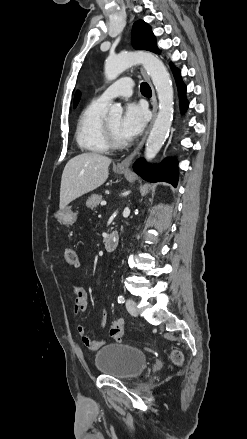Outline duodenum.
Instances as JSON below:
<instances>
[{"instance_id": "410a0bca", "label": "duodenum", "mask_w": 247, "mask_h": 439, "mask_svg": "<svg viewBox=\"0 0 247 439\" xmlns=\"http://www.w3.org/2000/svg\"><path fill=\"white\" fill-rule=\"evenodd\" d=\"M119 244V234L117 232L110 233L104 241L105 250L108 252L114 251Z\"/></svg>"}]
</instances>
